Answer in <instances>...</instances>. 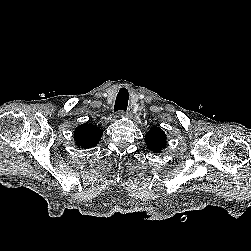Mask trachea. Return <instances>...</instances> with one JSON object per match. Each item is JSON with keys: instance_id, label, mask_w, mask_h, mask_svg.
Returning a JSON list of instances; mask_svg holds the SVG:
<instances>
[{"instance_id": "trachea-1", "label": "trachea", "mask_w": 251, "mask_h": 251, "mask_svg": "<svg viewBox=\"0 0 251 251\" xmlns=\"http://www.w3.org/2000/svg\"><path fill=\"white\" fill-rule=\"evenodd\" d=\"M128 99H129L128 90L125 87L120 88L116 97L114 112L118 110L126 111L128 106Z\"/></svg>"}]
</instances>
